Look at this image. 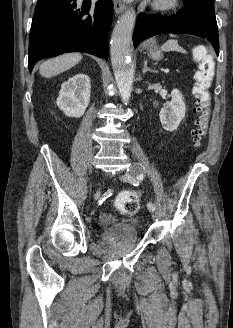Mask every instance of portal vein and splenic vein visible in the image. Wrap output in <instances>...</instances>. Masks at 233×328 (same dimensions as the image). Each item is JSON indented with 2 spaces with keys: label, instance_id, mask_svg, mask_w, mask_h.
<instances>
[{
  "label": "portal vein and splenic vein",
  "instance_id": "1",
  "mask_svg": "<svg viewBox=\"0 0 233 328\" xmlns=\"http://www.w3.org/2000/svg\"><path fill=\"white\" fill-rule=\"evenodd\" d=\"M163 71H164V73H169L170 72L169 69H164Z\"/></svg>",
  "mask_w": 233,
  "mask_h": 328
}]
</instances>
